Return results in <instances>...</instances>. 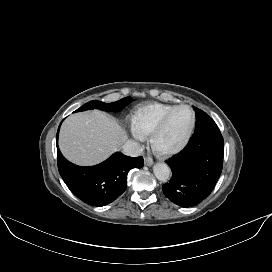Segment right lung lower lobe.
<instances>
[{"label":"right lung lower lobe","mask_w":272,"mask_h":272,"mask_svg":"<svg viewBox=\"0 0 272 272\" xmlns=\"http://www.w3.org/2000/svg\"><path fill=\"white\" fill-rule=\"evenodd\" d=\"M58 133L59 128L57 142ZM57 162L59 173L70 191L96 207L107 205L120 196L126 190L128 172L144 165L142 157L132 158L117 152L98 165L81 167L65 159L59 148Z\"/></svg>","instance_id":"1"}]
</instances>
